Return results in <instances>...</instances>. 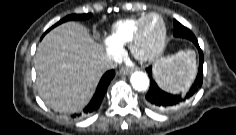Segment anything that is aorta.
<instances>
[{"label":"aorta","instance_id":"762f6f07","mask_svg":"<svg viewBox=\"0 0 236 135\" xmlns=\"http://www.w3.org/2000/svg\"><path fill=\"white\" fill-rule=\"evenodd\" d=\"M130 82L137 91H144L149 87V78L144 72H134L131 75Z\"/></svg>","mask_w":236,"mask_h":135}]
</instances>
